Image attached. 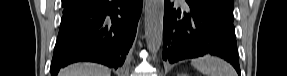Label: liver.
<instances>
[{"mask_svg": "<svg viewBox=\"0 0 287 76\" xmlns=\"http://www.w3.org/2000/svg\"><path fill=\"white\" fill-rule=\"evenodd\" d=\"M59 76H110L107 67L96 63H76L62 69Z\"/></svg>", "mask_w": 287, "mask_h": 76, "instance_id": "1", "label": "liver"}]
</instances>
